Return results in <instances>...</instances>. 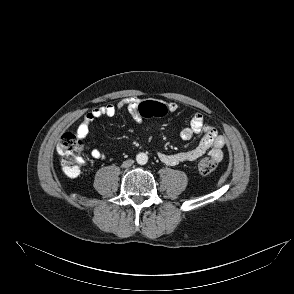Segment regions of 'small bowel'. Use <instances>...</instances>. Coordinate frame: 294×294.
I'll list each match as a JSON object with an SVG mask.
<instances>
[{
    "mask_svg": "<svg viewBox=\"0 0 294 294\" xmlns=\"http://www.w3.org/2000/svg\"><path fill=\"white\" fill-rule=\"evenodd\" d=\"M167 112H176L178 104L175 102H161ZM139 103L140 99L136 97L126 98L116 105L108 104L100 107H96L89 111L83 118V121L78 126L76 134L82 140L88 139L90 135L91 123L103 116L112 117L118 111L124 108H134ZM202 135L199 144L193 149L187 151H181L176 153H164L158 152L157 156L161 162L169 166H175L183 162L196 161L206 153L213 157L216 161H220L223 158V148L225 146V139L222 135H219L217 130L210 124L204 122L203 115L200 112L194 113L191 117L189 125L183 128L180 132V137L183 140H189L195 135ZM85 149L90 151L91 156L96 160L105 159V155L96 148H90L89 145L84 144Z\"/></svg>",
    "mask_w": 294,
    "mask_h": 294,
    "instance_id": "c3829d8e",
    "label": "small bowel"
}]
</instances>
